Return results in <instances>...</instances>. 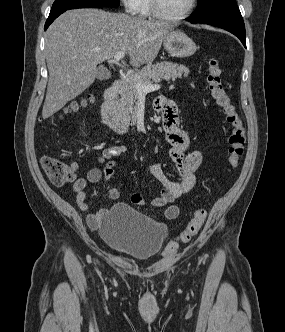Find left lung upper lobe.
I'll use <instances>...</instances> for the list:
<instances>
[{
	"instance_id": "left-lung-upper-lobe-1",
	"label": "left lung upper lobe",
	"mask_w": 285,
	"mask_h": 332,
	"mask_svg": "<svg viewBox=\"0 0 285 332\" xmlns=\"http://www.w3.org/2000/svg\"><path fill=\"white\" fill-rule=\"evenodd\" d=\"M240 17L242 16L235 0H198V7L189 18L212 21Z\"/></svg>"
}]
</instances>
